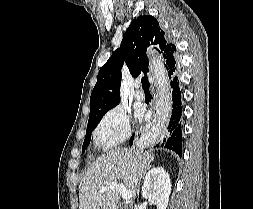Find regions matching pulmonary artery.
Returning <instances> with one entry per match:
<instances>
[{"label": "pulmonary artery", "mask_w": 253, "mask_h": 209, "mask_svg": "<svg viewBox=\"0 0 253 209\" xmlns=\"http://www.w3.org/2000/svg\"><path fill=\"white\" fill-rule=\"evenodd\" d=\"M135 98L139 101H143L145 98V94L142 90L139 89V85H136Z\"/></svg>", "instance_id": "obj_1"}]
</instances>
